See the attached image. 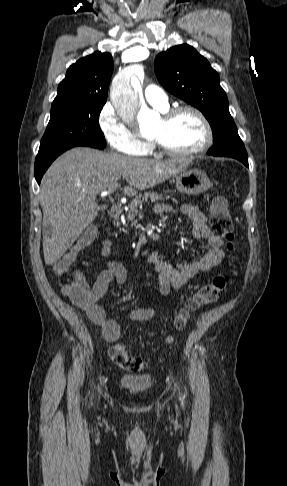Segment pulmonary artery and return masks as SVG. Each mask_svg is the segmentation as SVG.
Returning <instances> with one entry per match:
<instances>
[{
  "mask_svg": "<svg viewBox=\"0 0 287 486\" xmlns=\"http://www.w3.org/2000/svg\"><path fill=\"white\" fill-rule=\"evenodd\" d=\"M146 101L160 110L168 108V96L165 91L157 85H148L144 90Z\"/></svg>",
  "mask_w": 287,
  "mask_h": 486,
  "instance_id": "1",
  "label": "pulmonary artery"
}]
</instances>
